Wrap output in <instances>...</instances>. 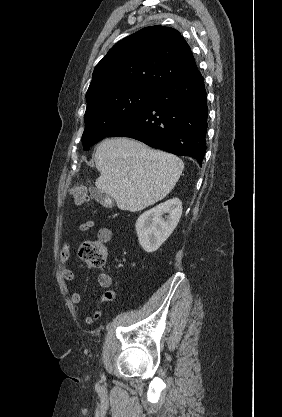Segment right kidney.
<instances>
[{"mask_svg": "<svg viewBox=\"0 0 282 417\" xmlns=\"http://www.w3.org/2000/svg\"><path fill=\"white\" fill-rule=\"evenodd\" d=\"M168 213L165 219L162 215ZM182 215V202L174 196L142 213L136 221L139 243L146 253H154L176 229Z\"/></svg>", "mask_w": 282, "mask_h": 417, "instance_id": "right-kidney-1", "label": "right kidney"}]
</instances>
